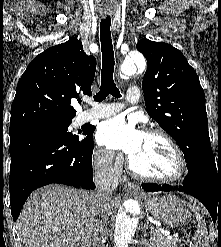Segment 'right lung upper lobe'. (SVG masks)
Instances as JSON below:
<instances>
[{
  "mask_svg": "<svg viewBox=\"0 0 221 247\" xmlns=\"http://www.w3.org/2000/svg\"><path fill=\"white\" fill-rule=\"evenodd\" d=\"M96 59L71 37L35 57L21 76L11 106L10 129L71 122V99L91 95Z\"/></svg>",
  "mask_w": 221,
  "mask_h": 247,
  "instance_id": "obj_1",
  "label": "right lung upper lobe"
}]
</instances>
